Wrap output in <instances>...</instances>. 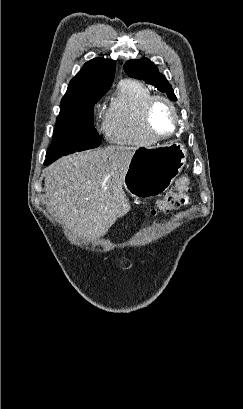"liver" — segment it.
Masks as SVG:
<instances>
[{
  "mask_svg": "<svg viewBox=\"0 0 243 409\" xmlns=\"http://www.w3.org/2000/svg\"><path fill=\"white\" fill-rule=\"evenodd\" d=\"M136 149L108 146L84 151L44 170L47 206L73 234L95 240L127 213L123 185Z\"/></svg>",
  "mask_w": 243,
  "mask_h": 409,
  "instance_id": "1",
  "label": "liver"
}]
</instances>
